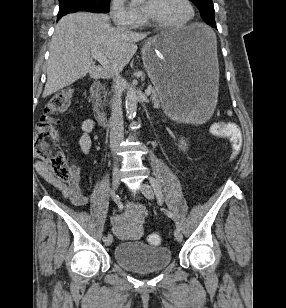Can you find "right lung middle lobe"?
Wrapping results in <instances>:
<instances>
[{"mask_svg":"<svg viewBox=\"0 0 286 308\" xmlns=\"http://www.w3.org/2000/svg\"><path fill=\"white\" fill-rule=\"evenodd\" d=\"M110 0H59V12L109 11Z\"/></svg>","mask_w":286,"mask_h":308,"instance_id":"obj_1","label":"right lung middle lobe"}]
</instances>
